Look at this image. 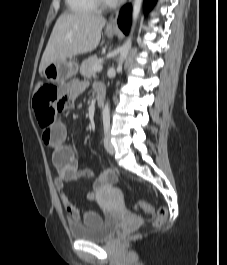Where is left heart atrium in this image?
Returning <instances> with one entry per match:
<instances>
[{
	"mask_svg": "<svg viewBox=\"0 0 227 265\" xmlns=\"http://www.w3.org/2000/svg\"><path fill=\"white\" fill-rule=\"evenodd\" d=\"M109 1H111V2H116V1H119V0H109Z\"/></svg>",
	"mask_w": 227,
	"mask_h": 265,
	"instance_id": "left-heart-atrium-1",
	"label": "left heart atrium"
}]
</instances>
